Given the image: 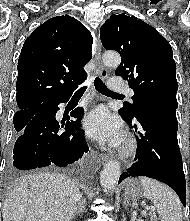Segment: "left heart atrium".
Masks as SVG:
<instances>
[{"label":"left heart atrium","instance_id":"39dd6f15","mask_svg":"<svg viewBox=\"0 0 190 221\" xmlns=\"http://www.w3.org/2000/svg\"><path fill=\"white\" fill-rule=\"evenodd\" d=\"M86 134L102 144L118 146L123 140L122 123L103 106L88 113L83 120Z\"/></svg>","mask_w":190,"mask_h":221}]
</instances>
